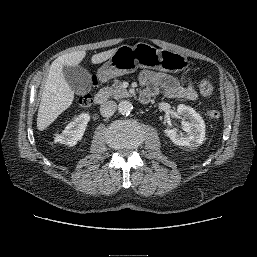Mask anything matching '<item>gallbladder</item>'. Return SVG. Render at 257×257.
Instances as JSON below:
<instances>
[{
	"label": "gallbladder",
	"instance_id": "obj_1",
	"mask_svg": "<svg viewBox=\"0 0 257 257\" xmlns=\"http://www.w3.org/2000/svg\"><path fill=\"white\" fill-rule=\"evenodd\" d=\"M63 75L71 89L82 95L91 89L90 73L82 66H64Z\"/></svg>",
	"mask_w": 257,
	"mask_h": 257
}]
</instances>
